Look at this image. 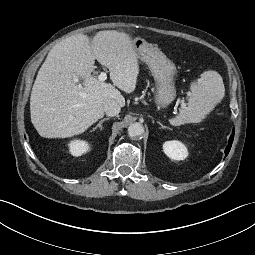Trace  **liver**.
I'll list each match as a JSON object with an SVG mask.
<instances>
[{
	"label": "liver",
	"mask_w": 255,
	"mask_h": 255,
	"mask_svg": "<svg viewBox=\"0 0 255 255\" xmlns=\"http://www.w3.org/2000/svg\"><path fill=\"white\" fill-rule=\"evenodd\" d=\"M132 41L125 32L103 30L91 42L87 35L77 34L50 50L30 97L31 121L40 136L67 138L83 133L103 117L106 100L125 106L118 89L132 93L139 74ZM95 59L109 69L113 85L91 76ZM79 78L80 85L75 81Z\"/></svg>",
	"instance_id": "obj_1"
}]
</instances>
